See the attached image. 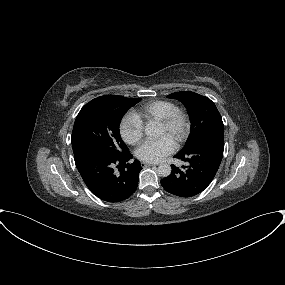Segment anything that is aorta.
Wrapping results in <instances>:
<instances>
[{
  "label": "aorta",
  "instance_id": "obj_1",
  "mask_svg": "<svg viewBox=\"0 0 285 285\" xmlns=\"http://www.w3.org/2000/svg\"><path fill=\"white\" fill-rule=\"evenodd\" d=\"M145 134L149 137L151 136H154L156 134V128L151 126V125H147L145 127V130H144ZM158 174L162 177H167L171 174V166L169 164H160L158 166Z\"/></svg>",
  "mask_w": 285,
  "mask_h": 285
}]
</instances>
